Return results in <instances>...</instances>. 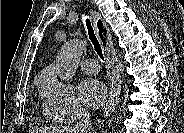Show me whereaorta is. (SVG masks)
Returning a JSON list of instances; mask_svg holds the SVG:
<instances>
[{
  "mask_svg": "<svg viewBox=\"0 0 184 133\" xmlns=\"http://www.w3.org/2000/svg\"><path fill=\"white\" fill-rule=\"evenodd\" d=\"M85 48L86 43L80 39L62 45L56 57V73L62 81H68L74 76Z\"/></svg>",
  "mask_w": 184,
  "mask_h": 133,
  "instance_id": "aorta-1",
  "label": "aorta"
}]
</instances>
